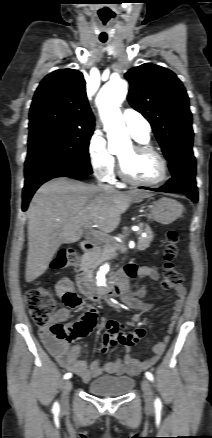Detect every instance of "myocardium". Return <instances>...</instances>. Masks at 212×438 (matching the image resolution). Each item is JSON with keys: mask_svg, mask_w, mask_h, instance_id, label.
<instances>
[{"mask_svg": "<svg viewBox=\"0 0 212 438\" xmlns=\"http://www.w3.org/2000/svg\"><path fill=\"white\" fill-rule=\"evenodd\" d=\"M132 148L135 152L148 153V154H152L155 157H157L159 162H160V166H161V175L158 179H156L154 181H150V182H143V181L135 180L127 174V172L124 169L122 160L119 159V175H120L121 179L129 184H132L135 186H141V187H151V186H156V185L163 183L168 177V164H167L165 157L159 151H157L156 149H154L153 147L148 146V145L134 144L132 146Z\"/></svg>", "mask_w": 212, "mask_h": 438, "instance_id": "obj_1", "label": "myocardium"}]
</instances>
